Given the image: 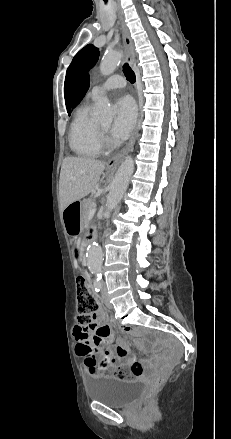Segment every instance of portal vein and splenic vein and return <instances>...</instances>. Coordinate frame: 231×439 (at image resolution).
Instances as JSON below:
<instances>
[{"instance_id": "obj_1", "label": "portal vein and splenic vein", "mask_w": 231, "mask_h": 439, "mask_svg": "<svg viewBox=\"0 0 231 439\" xmlns=\"http://www.w3.org/2000/svg\"><path fill=\"white\" fill-rule=\"evenodd\" d=\"M95 212H96V208H93V209L90 211L89 216L92 217V216L94 215Z\"/></svg>"}]
</instances>
